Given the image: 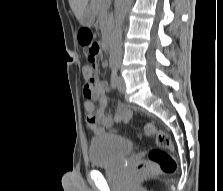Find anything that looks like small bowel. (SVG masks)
<instances>
[{
	"instance_id": "1",
	"label": "small bowel",
	"mask_w": 223,
	"mask_h": 191,
	"mask_svg": "<svg viewBox=\"0 0 223 191\" xmlns=\"http://www.w3.org/2000/svg\"><path fill=\"white\" fill-rule=\"evenodd\" d=\"M109 86L106 81L95 79L91 84H85L83 95L86 98L85 110L87 112V125L95 134L104 133L115 123H127L132 117V111L123 102L116 105V114L110 115L105 111ZM95 102L99 106L96 107Z\"/></svg>"
}]
</instances>
